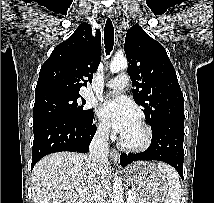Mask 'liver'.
Here are the masks:
<instances>
[{
    "mask_svg": "<svg viewBox=\"0 0 214 203\" xmlns=\"http://www.w3.org/2000/svg\"><path fill=\"white\" fill-rule=\"evenodd\" d=\"M90 194L83 154L53 153L42 158L32 171L33 203H89Z\"/></svg>",
    "mask_w": 214,
    "mask_h": 203,
    "instance_id": "1",
    "label": "liver"
}]
</instances>
